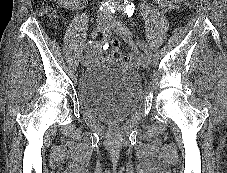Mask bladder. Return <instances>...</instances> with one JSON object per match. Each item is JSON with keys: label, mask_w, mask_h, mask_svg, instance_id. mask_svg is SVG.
<instances>
[{"label": "bladder", "mask_w": 227, "mask_h": 173, "mask_svg": "<svg viewBox=\"0 0 227 173\" xmlns=\"http://www.w3.org/2000/svg\"><path fill=\"white\" fill-rule=\"evenodd\" d=\"M82 109L106 122H119L140 105L143 85L132 67L119 62H105L87 69L77 83Z\"/></svg>", "instance_id": "bladder-1"}]
</instances>
